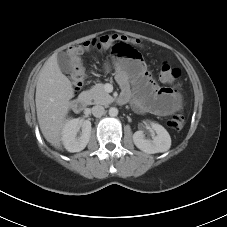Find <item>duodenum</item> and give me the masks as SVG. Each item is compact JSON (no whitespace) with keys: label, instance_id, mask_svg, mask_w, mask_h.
Listing matches in <instances>:
<instances>
[{"label":"duodenum","instance_id":"410a0bca","mask_svg":"<svg viewBox=\"0 0 227 227\" xmlns=\"http://www.w3.org/2000/svg\"><path fill=\"white\" fill-rule=\"evenodd\" d=\"M89 96L86 93L79 94L71 103V107L75 112H81L88 104Z\"/></svg>","mask_w":227,"mask_h":227}]
</instances>
